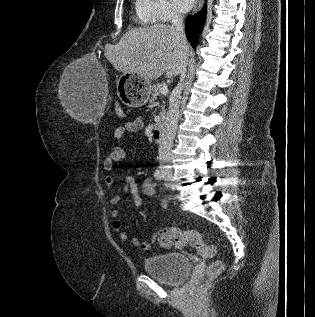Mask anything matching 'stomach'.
<instances>
[{
  "label": "stomach",
  "instance_id": "stomach-1",
  "mask_svg": "<svg viewBox=\"0 0 315 317\" xmlns=\"http://www.w3.org/2000/svg\"><path fill=\"white\" fill-rule=\"evenodd\" d=\"M116 85L122 103L132 108L145 105L152 91L150 80L142 78L137 73H123L116 80Z\"/></svg>",
  "mask_w": 315,
  "mask_h": 317
}]
</instances>
